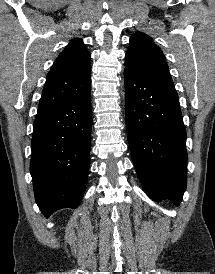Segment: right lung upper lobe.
<instances>
[{"label": "right lung upper lobe", "mask_w": 215, "mask_h": 274, "mask_svg": "<svg viewBox=\"0 0 215 274\" xmlns=\"http://www.w3.org/2000/svg\"><path fill=\"white\" fill-rule=\"evenodd\" d=\"M90 58L81 39L71 40L47 74L38 110L53 107L90 85Z\"/></svg>", "instance_id": "right-lung-upper-lobe-1"}]
</instances>
